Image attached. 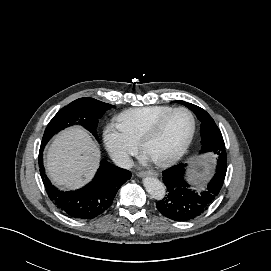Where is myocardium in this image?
Returning a JSON list of instances; mask_svg holds the SVG:
<instances>
[{
  "label": "myocardium",
  "mask_w": 271,
  "mask_h": 271,
  "mask_svg": "<svg viewBox=\"0 0 271 271\" xmlns=\"http://www.w3.org/2000/svg\"><path fill=\"white\" fill-rule=\"evenodd\" d=\"M179 111H184L188 113L191 117L192 129H191L190 135L187 141L185 142V144L176 153L163 159H153V162L158 166L164 167V166L173 165L177 163L179 160H181L185 156V154L188 152V150L190 149L193 143V140L196 134V129H197V121H196V117L194 113L186 107L173 108L168 113L163 115L159 120H157L147 131H145L139 141L140 148L142 149V151L145 152L148 143L159 133V131L161 130L165 122L168 120V118L174 113L179 112Z\"/></svg>",
  "instance_id": "1"
}]
</instances>
